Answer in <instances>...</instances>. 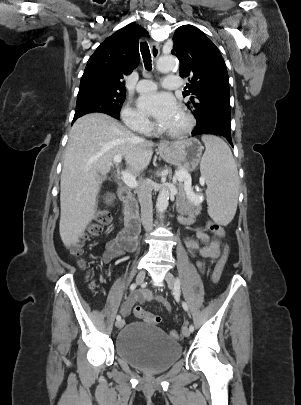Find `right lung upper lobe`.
Returning <instances> with one entry per match:
<instances>
[{
  "label": "right lung upper lobe",
  "mask_w": 301,
  "mask_h": 405,
  "mask_svg": "<svg viewBox=\"0 0 301 405\" xmlns=\"http://www.w3.org/2000/svg\"><path fill=\"white\" fill-rule=\"evenodd\" d=\"M149 37L137 24H129L106 38L89 58L81 77L79 93L88 91L125 92L122 79L137 67L138 40Z\"/></svg>",
  "instance_id": "obj_1"
}]
</instances>
